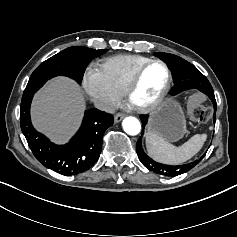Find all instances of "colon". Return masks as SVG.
I'll return each mask as SVG.
<instances>
[{
  "label": "colon",
  "instance_id": "colon-1",
  "mask_svg": "<svg viewBox=\"0 0 237 237\" xmlns=\"http://www.w3.org/2000/svg\"><path fill=\"white\" fill-rule=\"evenodd\" d=\"M205 95L196 93L192 95L187 102V113L191 121L196 123L208 121L213 114L209 106L203 104Z\"/></svg>",
  "mask_w": 237,
  "mask_h": 237
}]
</instances>
